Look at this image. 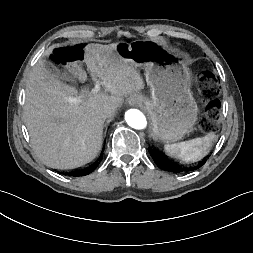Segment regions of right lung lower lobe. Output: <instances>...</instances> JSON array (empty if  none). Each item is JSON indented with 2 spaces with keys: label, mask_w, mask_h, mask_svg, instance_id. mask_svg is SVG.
Returning <instances> with one entry per match:
<instances>
[{
  "label": "right lung lower lobe",
  "mask_w": 253,
  "mask_h": 253,
  "mask_svg": "<svg viewBox=\"0 0 253 253\" xmlns=\"http://www.w3.org/2000/svg\"><path fill=\"white\" fill-rule=\"evenodd\" d=\"M93 170H94V168L89 169L86 172H75L72 176H84V175H87V174L91 173Z\"/></svg>",
  "instance_id": "right-lung-lower-lobe-1"
}]
</instances>
